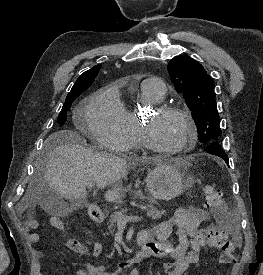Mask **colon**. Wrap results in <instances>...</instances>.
<instances>
[{"instance_id": "colon-1", "label": "colon", "mask_w": 263, "mask_h": 275, "mask_svg": "<svg viewBox=\"0 0 263 275\" xmlns=\"http://www.w3.org/2000/svg\"><path fill=\"white\" fill-rule=\"evenodd\" d=\"M205 203L214 210H219L224 205V198L220 191L216 190L212 185H206L203 189ZM54 226L58 228L59 219L54 221ZM202 241L205 245L215 247L221 250L218 263L220 265H233L236 263L234 254V245L228 240L224 230L217 226H209L202 231Z\"/></svg>"}]
</instances>
